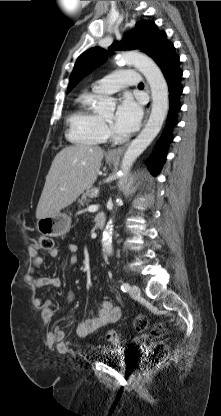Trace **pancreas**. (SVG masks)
I'll return each instance as SVG.
<instances>
[{"mask_svg":"<svg viewBox=\"0 0 221 416\" xmlns=\"http://www.w3.org/2000/svg\"><path fill=\"white\" fill-rule=\"evenodd\" d=\"M97 195L96 189L94 187H89L78 202L80 205L84 206L85 204H88L92 198L97 197Z\"/></svg>","mask_w":221,"mask_h":416,"instance_id":"1","label":"pancreas"}]
</instances>
